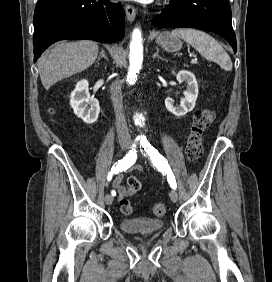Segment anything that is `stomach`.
Instances as JSON below:
<instances>
[{
    "instance_id": "1",
    "label": "stomach",
    "mask_w": 272,
    "mask_h": 282,
    "mask_svg": "<svg viewBox=\"0 0 272 282\" xmlns=\"http://www.w3.org/2000/svg\"><path fill=\"white\" fill-rule=\"evenodd\" d=\"M156 43L168 52H176L182 48V42L178 37H173L169 32L159 33Z\"/></svg>"
}]
</instances>
